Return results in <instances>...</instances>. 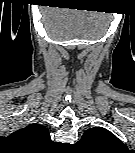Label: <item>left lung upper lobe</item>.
Returning a JSON list of instances; mask_svg holds the SVG:
<instances>
[{
	"label": "left lung upper lobe",
	"mask_w": 135,
	"mask_h": 153,
	"mask_svg": "<svg viewBox=\"0 0 135 153\" xmlns=\"http://www.w3.org/2000/svg\"><path fill=\"white\" fill-rule=\"evenodd\" d=\"M77 144L90 153H122L126 150V146L103 127L88 129Z\"/></svg>",
	"instance_id": "1"
}]
</instances>
